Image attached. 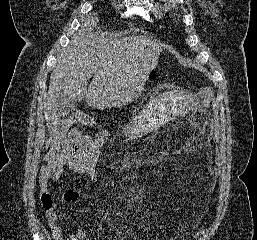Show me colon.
Masks as SVG:
<instances>
[{"instance_id": "1", "label": "colon", "mask_w": 257, "mask_h": 240, "mask_svg": "<svg viewBox=\"0 0 257 240\" xmlns=\"http://www.w3.org/2000/svg\"><path fill=\"white\" fill-rule=\"evenodd\" d=\"M155 72H151L150 77H153ZM213 97V90L210 87H205L200 91L199 102L196 110L191 116L190 119V129L195 132L199 128V121L203 114L206 112V109ZM42 205L46 210H55V202L53 197L50 194H44L41 197Z\"/></svg>"}]
</instances>
